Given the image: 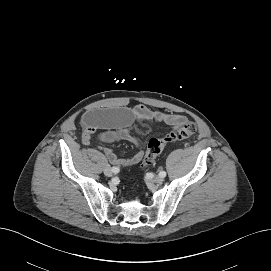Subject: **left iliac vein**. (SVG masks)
Segmentation results:
<instances>
[{"label":"left iliac vein","mask_w":271,"mask_h":271,"mask_svg":"<svg viewBox=\"0 0 271 271\" xmlns=\"http://www.w3.org/2000/svg\"><path fill=\"white\" fill-rule=\"evenodd\" d=\"M164 180L163 177H161L160 175H157L155 178H154V182L156 183H162Z\"/></svg>","instance_id":"obj_1"}]
</instances>
